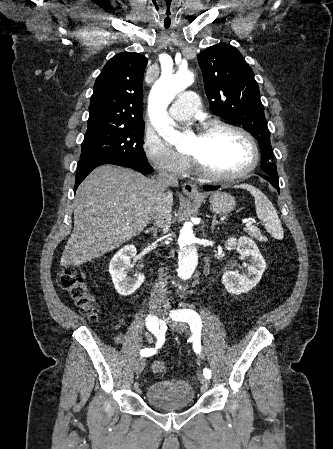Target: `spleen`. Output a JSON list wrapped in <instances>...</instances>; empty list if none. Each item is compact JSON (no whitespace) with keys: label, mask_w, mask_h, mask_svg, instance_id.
Returning a JSON list of instances; mask_svg holds the SVG:
<instances>
[{"label":"spleen","mask_w":333,"mask_h":449,"mask_svg":"<svg viewBox=\"0 0 333 449\" xmlns=\"http://www.w3.org/2000/svg\"><path fill=\"white\" fill-rule=\"evenodd\" d=\"M239 187L248 190L255 198L256 214L258 218L263 222L267 232L276 239H282L284 236V232L281 221L273 204L266 197V195L261 190L252 185L245 184L240 185Z\"/></svg>","instance_id":"obj_1"}]
</instances>
